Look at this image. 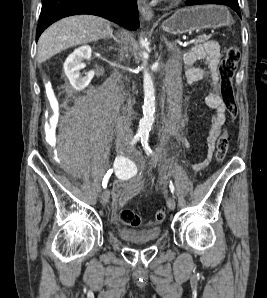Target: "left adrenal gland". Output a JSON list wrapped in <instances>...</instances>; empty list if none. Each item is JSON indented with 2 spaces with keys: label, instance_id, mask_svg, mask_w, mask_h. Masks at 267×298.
<instances>
[{
  "label": "left adrenal gland",
  "instance_id": "1",
  "mask_svg": "<svg viewBox=\"0 0 267 298\" xmlns=\"http://www.w3.org/2000/svg\"><path fill=\"white\" fill-rule=\"evenodd\" d=\"M161 41H164V43L166 44V47H167L168 51H173V50H174V45H173L171 42H169V41L165 38V36H162Z\"/></svg>",
  "mask_w": 267,
  "mask_h": 298
}]
</instances>
